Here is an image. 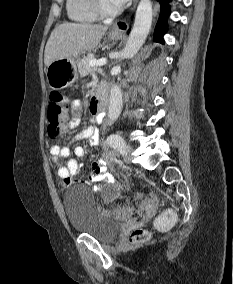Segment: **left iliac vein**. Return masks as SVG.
<instances>
[{
    "label": "left iliac vein",
    "instance_id": "4c4485c4",
    "mask_svg": "<svg viewBox=\"0 0 233 284\" xmlns=\"http://www.w3.org/2000/svg\"><path fill=\"white\" fill-rule=\"evenodd\" d=\"M132 152V148L130 146H127L123 152L124 160L129 162L130 161V154Z\"/></svg>",
    "mask_w": 233,
    "mask_h": 284
}]
</instances>
